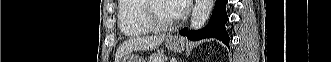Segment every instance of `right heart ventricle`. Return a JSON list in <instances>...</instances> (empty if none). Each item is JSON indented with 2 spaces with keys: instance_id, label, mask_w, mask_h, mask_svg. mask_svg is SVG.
<instances>
[{
  "instance_id": "obj_1",
  "label": "right heart ventricle",
  "mask_w": 331,
  "mask_h": 62,
  "mask_svg": "<svg viewBox=\"0 0 331 62\" xmlns=\"http://www.w3.org/2000/svg\"><path fill=\"white\" fill-rule=\"evenodd\" d=\"M143 0H120L118 4V23L122 34L138 37L152 31L142 19Z\"/></svg>"
}]
</instances>
